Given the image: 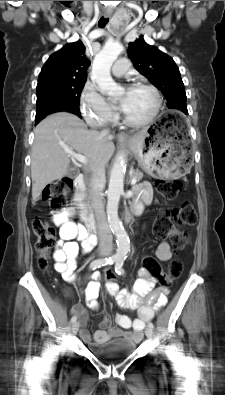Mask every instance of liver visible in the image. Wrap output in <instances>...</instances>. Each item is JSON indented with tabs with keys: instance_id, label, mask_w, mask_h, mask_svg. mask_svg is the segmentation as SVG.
Instances as JSON below:
<instances>
[{
	"instance_id": "6515ba94",
	"label": "liver",
	"mask_w": 225,
	"mask_h": 395,
	"mask_svg": "<svg viewBox=\"0 0 225 395\" xmlns=\"http://www.w3.org/2000/svg\"><path fill=\"white\" fill-rule=\"evenodd\" d=\"M31 152L32 203L38 200L46 185L63 178L70 163L66 150L87 159L86 168L109 162L115 146L114 136L88 130L76 115L58 112L47 116L34 129Z\"/></svg>"
}]
</instances>
